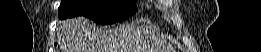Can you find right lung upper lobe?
Here are the masks:
<instances>
[{"label":"right lung upper lobe","mask_w":261,"mask_h":52,"mask_svg":"<svg viewBox=\"0 0 261 52\" xmlns=\"http://www.w3.org/2000/svg\"><path fill=\"white\" fill-rule=\"evenodd\" d=\"M128 1H132V2H135V0H128Z\"/></svg>","instance_id":"obj_1"}]
</instances>
